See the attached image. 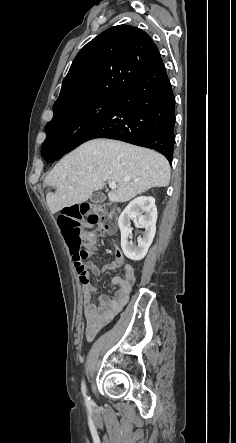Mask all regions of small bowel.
<instances>
[{"mask_svg": "<svg viewBox=\"0 0 236 443\" xmlns=\"http://www.w3.org/2000/svg\"><path fill=\"white\" fill-rule=\"evenodd\" d=\"M96 233L92 232L86 245L90 248L91 255L98 254L96 248ZM112 244V242L108 241ZM81 289L84 295L82 309L85 317V336L88 340L93 339L100 330L123 308L127 302L132 286L135 282V268L127 262L123 254L117 250L115 258L100 268L93 262L84 263L82 267L74 266ZM121 269L122 275H116L111 279L114 296L96 294V286L91 282V274L100 276L104 271Z\"/></svg>", "mask_w": 236, "mask_h": 443, "instance_id": "small-bowel-1", "label": "small bowel"}]
</instances>
